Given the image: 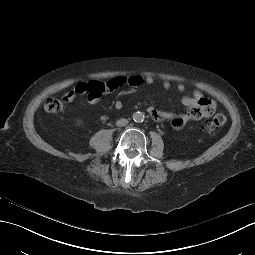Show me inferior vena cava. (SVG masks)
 <instances>
[{
    "mask_svg": "<svg viewBox=\"0 0 255 255\" xmlns=\"http://www.w3.org/2000/svg\"><path fill=\"white\" fill-rule=\"evenodd\" d=\"M128 124V120L125 118H121L119 120H117L116 125L119 127L125 126Z\"/></svg>",
    "mask_w": 255,
    "mask_h": 255,
    "instance_id": "1",
    "label": "inferior vena cava"
}]
</instances>
